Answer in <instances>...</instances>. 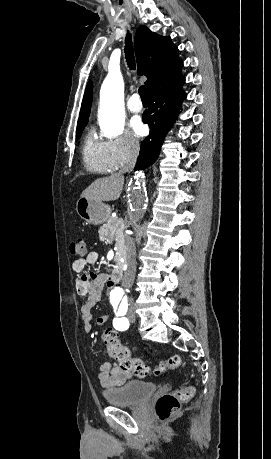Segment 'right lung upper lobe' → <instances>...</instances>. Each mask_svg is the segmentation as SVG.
I'll use <instances>...</instances> for the list:
<instances>
[{"label": "right lung upper lobe", "instance_id": "cb5924a9", "mask_svg": "<svg viewBox=\"0 0 271 459\" xmlns=\"http://www.w3.org/2000/svg\"><path fill=\"white\" fill-rule=\"evenodd\" d=\"M135 50L138 74L145 75V85L150 91L158 83L180 72L183 62L178 57V48L170 37H162L144 25L135 35ZM92 103V84L88 83L81 105L79 121L88 120Z\"/></svg>", "mask_w": 271, "mask_h": 459}]
</instances>
